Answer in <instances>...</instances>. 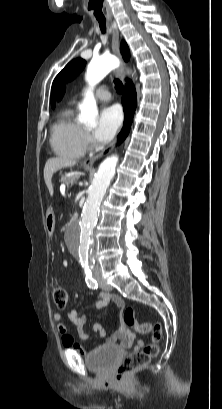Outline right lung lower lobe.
<instances>
[{"label":"right lung lower lobe","instance_id":"1","mask_svg":"<svg viewBox=\"0 0 222 409\" xmlns=\"http://www.w3.org/2000/svg\"><path fill=\"white\" fill-rule=\"evenodd\" d=\"M122 104L124 108L125 119L123 129L118 136L119 142L123 141L129 133L137 104L136 91L134 85L130 80H127V85L125 86Z\"/></svg>","mask_w":222,"mask_h":409}]
</instances>
